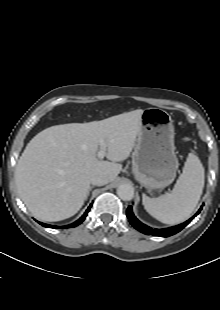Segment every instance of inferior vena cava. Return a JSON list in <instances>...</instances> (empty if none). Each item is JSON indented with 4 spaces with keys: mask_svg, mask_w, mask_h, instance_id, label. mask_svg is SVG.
Here are the masks:
<instances>
[{
    "mask_svg": "<svg viewBox=\"0 0 220 310\" xmlns=\"http://www.w3.org/2000/svg\"><path fill=\"white\" fill-rule=\"evenodd\" d=\"M109 182V179L106 175L96 174L91 177V184L96 186H103Z\"/></svg>",
    "mask_w": 220,
    "mask_h": 310,
    "instance_id": "602c4592",
    "label": "inferior vena cava"
}]
</instances>
